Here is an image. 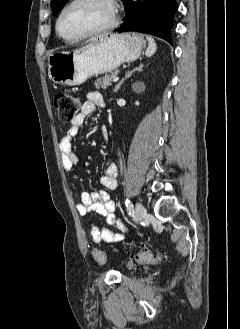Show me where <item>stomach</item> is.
Wrapping results in <instances>:
<instances>
[{"instance_id": "obj_1", "label": "stomach", "mask_w": 240, "mask_h": 329, "mask_svg": "<svg viewBox=\"0 0 240 329\" xmlns=\"http://www.w3.org/2000/svg\"><path fill=\"white\" fill-rule=\"evenodd\" d=\"M145 40L135 33L103 35L77 51H62L48 57L49 77L57 84L76 86L87 79L137 60Z\"/></svg>"}]
</instances>
